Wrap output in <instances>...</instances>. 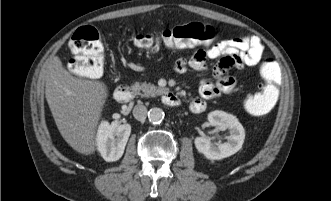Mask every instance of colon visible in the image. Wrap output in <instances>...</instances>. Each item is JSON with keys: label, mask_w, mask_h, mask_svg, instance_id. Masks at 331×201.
<instances>
[{"label": "colon", "mask_w": 331, "mask_h": 201, "mask_svg": "<svg viewBox=\"0 0 331 201\" xmlns=\"http://www.w3.org/2000/svg\"><path fill=\"white\" fill-rule=\"evenodd\" d=\"M216 38L210 25L193 22L183 26L164 29L159 33H142L133 36L134 44L143 50L157 51L161 48H192L207 46ZM70 48L75 54L70 61V70L83 78L99 77L104 70V46L99 32L92 26L79 28L71 38ZM260 72L264 84L259 92L244 98V107L254 116L269 113L277 103L283 70L271 57L261 60Z\"/></svg>", "instance_id": "1"}]
</instances>
